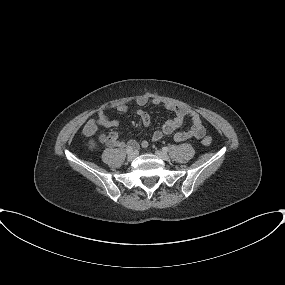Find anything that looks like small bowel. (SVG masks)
Listing matches in <instances>:
<instances>
[{
  "instance_id": "c3829d8e",
  "label": "small bowel",
  "mask_w": 285,
  "mask_h": 285,
  "mask_svg": "<svg viewBox=\"0 0 285 285\" xmlns=\"http://www.w3.org/2000/svg\"><path fill=\"white\" fill-rule=\"evenodd\" d=\"M135 104L139 107H144L147 104L160 105L162 104V102L160 99L157 98L139 96L135 100ZM164 108L168 111H171L174 114V117L167 119L163 123L160 130H156L153 132V141H160L165 135H170L173 133L174 140L177 142H184L190 138L202 139L205 136V127L203 125L200 115L196 111L188 109L186 107L177 106L172 103H165ZM128 110L129 105L126 103H122L116 106V111L119 113H126L128 112ZM136 114L141 119L145 127H149L151 125V116L148 112L140 108L136 111ZM185 118H189V120L191 121V128L189 130L175 132L183 124ZM118 126V120L109 119L104 111H99L95 119H90L86 122L83 127V134L85 137L88 138V143L90 147H95L99 143L117 148L126 145L127 147L129 146L133 149H137L139 147L147 148L149 146V142L147 140H143L140 143L135 140L123 142L119 139V135L116 132L102 134L99 136L98 140H95L93 138L99 127L116 128Z\"/></svg>"
}]
</instances>
